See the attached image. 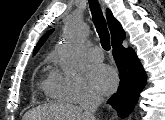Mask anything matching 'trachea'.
I'll return each instance as SVG.
<instances>
[{"instance_id": "3493384b", "label": "trachea", "mask_w": 165, "mask_h": 120, "mask_svg": "<svg viewBox=\"0 0 165 120\" xmlns=\"http://www.w3.org/2000/svg\"><path fill=\"white\" fill-rule=\"evenodd\" d=\"M89 5L92 13L93 22L100 38V43L105 50L109 51L111 48L110 34L100 5L97 0H89Z\"/></svg>"}]
</instances>
